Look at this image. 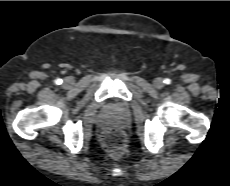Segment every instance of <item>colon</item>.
Listing matches in <instances>:
<instances>
[{
    "label": "colon",
    "mask_w": 230,
    "mask_h": 186,
    "mask_svg": "<svg viewBox=\"0 0 230 186\" xmlns=\"http://www.w3.org/2000/svg\"><path fill=\"white\" fill-rule=\"evenodd\" d=\"M102 145L111 156L120 157L126 148L124 134L116 128L107 129L102 136Z\"/></svg>",
    "instance_id": "1"
}]
</instances>
